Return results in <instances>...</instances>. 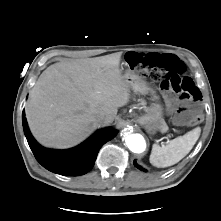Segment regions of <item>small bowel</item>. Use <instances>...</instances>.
Segmentation results:
<instances>
[{"label": "small bowel", "mask_w": 221, "mask_h": 221, "mask_svg": "<svg viewBox=\"0 0 221 221\" xmlns=\"http://www.w3.org/2000/svg\"><path fill=\"white\" fill-rule=\"evenodd\" d=\"M134 53H136L139 56L141 62L145 61V57L148 54V53H144V52H142V53L134 52ZM165 99H166V103H167V107H168L169 111H174L178 107L179 103L171 96L167 95Z\"/></svg>", "instance_id": "1"}]
</instances>
